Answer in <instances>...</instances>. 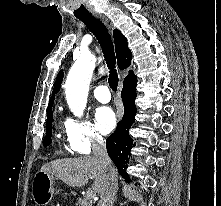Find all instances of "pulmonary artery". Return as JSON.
Listing matches in <instances>:
<instances>
[{"label":"pulmonary artery","mask_w":221,"mask_h":206,"mask_svg":"<svg viewBox=\"0 0 221 206\" xmlns=\"http://www.w3.org/2000/svg\"><path fill=\"white\" fill-rule=\"evenodd\" d=\"M94 97L101 103L110 101L111 95L109 87L106 85H99L94 89Z\"/></svg>","instance_id":"obj_1"}]
</instances>
